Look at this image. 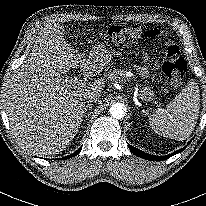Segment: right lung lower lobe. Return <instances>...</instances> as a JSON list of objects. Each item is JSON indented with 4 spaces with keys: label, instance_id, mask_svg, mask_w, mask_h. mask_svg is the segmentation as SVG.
<instances>
[{
    "label": "right lung lower lobe",
    "instance_id": "right-lung-lower-lobe-1",
    "mask_svg": "<svg viewBox=\"0 0 206 206\" xmlns=\"http://www.w3.org/2000/svg\"><path fill=\"white\" fill-rule=\"evenodd\" d=\"M81 148H82V147H80V148H79L77 151H75L73 154H70L69 156L64 157V158H59L58 160L69 159V158H72V157L76 156V155L81 151Z\"/></svg>",
    "mask_w": 206,
    "mask_h": 206
}]
</instances>
